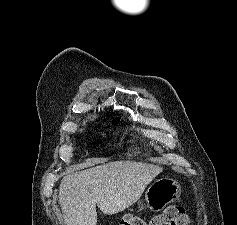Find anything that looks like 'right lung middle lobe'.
Listing matches in <instances>:
<instances>
[{
	"label": "right lung middle lobe",
	"instance_id": "dd1d6c3e",
	"mask_svg": "<svg viewBox=\"0 0 237 225\" xmlns=\"http://www.w3.org/2000/svg\"><path fill=\"white\" fill-rule=\"evenodd\" d=\"M120 118H117L115 120H113V124H116L119 121Z\"/></svg>",
	"mask_w": 237,
	"mask_h": 225
}]
</instances>
